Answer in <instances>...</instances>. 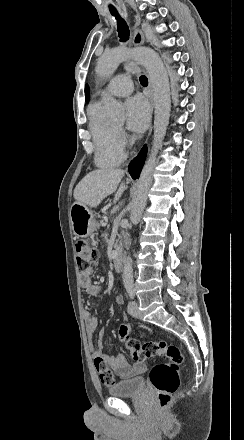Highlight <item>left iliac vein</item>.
Returning a JSON list of instances; mask_svg holds the SVG:
<instances>
[{
	"mask_svg": "<svg viewBox=\"0 0 244 440\" xmlns=\"http://www.w3.org/2000/svg\"><path fill=\"white\" fill-rule=\"evenodd\" d=\"M128 313L133 317L139 316L138 304L136 301L132 300L128 304Z\"/></svg>",
	"mask_w": 244,
	"mask_h": 440,
	"instance_id": "4c4485c4",
	"label": "left iliac vein"
}]
</instances>
